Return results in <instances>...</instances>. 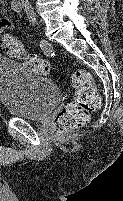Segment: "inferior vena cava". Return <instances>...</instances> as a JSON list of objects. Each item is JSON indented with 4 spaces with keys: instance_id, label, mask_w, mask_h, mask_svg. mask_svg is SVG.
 Listing matches in <instances>:
<instances>
[{
    "instance_id": "602c4592",
    "label": "inferior vena cava",
    "mask_w": 123,
    "mask_h": 201,
    "mask_svg": "<svg viewBox=\"0 0 123 201\" xmlns=\"http://www.w3.org/2000/svg\"><path fill=\"white\" fill-rule=\"evenodd\" d=\"M21 2H22V4H24V5H28L29 3H28V0H20Z\"/></svg>"
}]
</instances>
